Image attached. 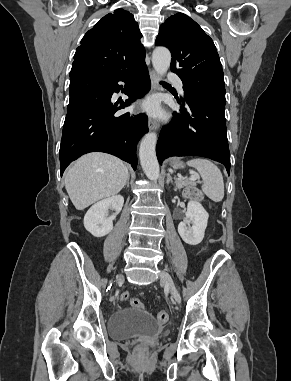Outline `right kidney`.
<instances>
[{
    "mask_svg": "<svg viewBox=\"0 0 291 381\" xmlns=\"http://www.w3.org/2000/svg\"><path fill=\"white\" fill-rule=\"evenodd\" d=\"M124 198L115 195L95 203L84 216V227L95 237H103L113 229V220L122 210ZM112 209L115 213L108 216V210Z\"/></svg>",
    "mask_w": 291,
    "mask_h": 381,
    "instance_id": "right-kidney-1",
    "label": "right kidney"
}]
</instances>
